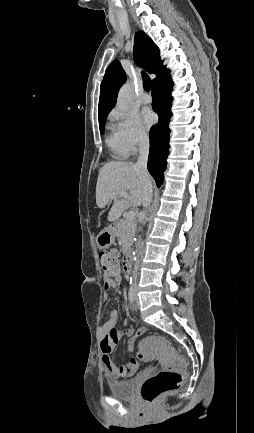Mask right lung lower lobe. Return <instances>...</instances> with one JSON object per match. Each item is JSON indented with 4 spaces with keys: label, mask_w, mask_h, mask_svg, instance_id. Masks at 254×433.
<instances>
[{
    "label": "right lung lower lobe",
    "mask_w": 254,
    "mask_h": 433,
    "mask_svg": "<svg viewBox=\"0 0 254 433\" xmlns=\"http://www.w3.org/2000/svg\"><path fill=\"white\" fill-rule=\"evenodd\" d=\"M169 72L157 81L152 87L153 110L159 115V121L150 129V150L148 158V171L153 176L158 187L163 183V172L169 149V119L172 115L171 88L173 82Z\"/></svg>",
    "instance_id": "98d812e1"
}]
</instances>
